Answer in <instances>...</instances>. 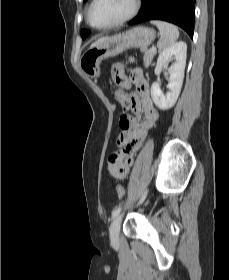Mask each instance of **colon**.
<instances>
[{
  "instance_id": "1",
  "label": "colon",
  "mask_w": 229,
  "mask_h": 280,
  "mask_svg": "<svg viewBox=\"0 0 229 280\" xmlns=\"http://www.w3.org/2000/svg\"><path fill=\"white\" fill-rule=\"evenodd\" d=\"M131 71L134 74L138 73V70H135V69H133ZM123 101L124 102L127 101L126 96L123 98ZM119 124L122 129L129 128L131 125V117L129 115L123 114L120 117ZM124 155H125L124 151H116L110 155V157H109V170L110 171L116 172V173H124L127 171L129 162L123 160ZM116 192L119 197L124 196V189L122 188V186L118 185L116 187Z\"/></svg>"
}]
</instances>
